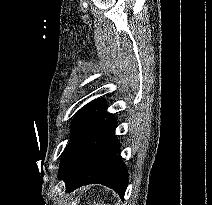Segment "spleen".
I'll use <instances>...</instances> for the list:
<instances>
[{
	"label": "spleen",
	"mask_w": 212,
	"mask_h": 205,
	"mask_svg": "<svg viewBox=\"0 0 212 205\" xmlns=\"http://www.w3.org/2000/svg\"><path fill=\"white\" fill-rule=\"evenodd\" d=\"M95 205H99V204H95ZM101 205H105V204H101Z\"/></svg>",
	"instance_id": "1"
}]
</instances>
